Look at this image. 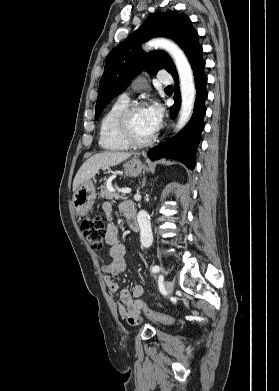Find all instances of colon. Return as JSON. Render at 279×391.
Segmentation results:
<instances>
[{
	"instance_id": "obj_1",
	"label": "colon",
	"mask_w": 279,
	"mask_h": 391,
	"mask_svg": "<svg viewBox=\"0 0 279 391\" xmlns=\"http://www.w3.org/2000/svg\"><path fill=\"white\" fill-rule=\"evenodd\" d=\"M81 229L84 237L95 250H100L104 246V241L106 238L107 228L105 222L99 215L89 217L83 220L81 224ZM141 310L150 318L158 320L165 324H171L174 322V318L158 314L150 310L145 302L141 304Z\"/></svg>"
}]
</instances>
